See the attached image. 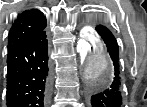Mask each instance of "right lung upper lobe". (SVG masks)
Instances as JSON below:
<instances>
[{
    "mask_svg": "<svg viewBox=\"0 0 147 107\" xmlns=\"http://www.w3.org/2000/svg\"><path fill=\"white\" fill-rule=\"evenodd\" d=\"M47 21L37 9L25 10L14 21L8 35V49L16 47L43 31Z\"/></svg>",
    "mask_w": 147,
    "mask_h": 107,
    "instance_id": "cb5924a9",
    "label": "right lung upper lobe"
}]
</instances>
